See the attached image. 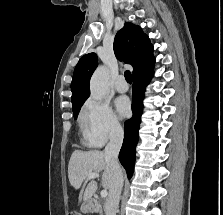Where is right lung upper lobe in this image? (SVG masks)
Wrapping results in <instances>:
<instances>
[{
    "label": "right lung upper lobe",
    "mask_w": 223,
    "mask_h": 215,
    "mask_svg": "<svg viewBox=\"0 0 223 215\" xmlns=\"http://www.w3.org/2000/svg\"><path fill=\"white\" fill-rule=\"evenodd\" d=\"M113 48L120 61L133 66V77L146 73L153 68L155 62L153 46L148 36L142 32L139 26L126 22L124 27L116 34ZM97 62V55L89 53L84 55L76 65L71 83L72 109L82 106L88 98L90 94L89 81L97 67Z\"/></svg>",
    "instance_id": "1"
}]
</instances>
